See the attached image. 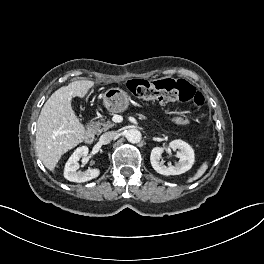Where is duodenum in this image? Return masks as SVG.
Here are the masks:
<instances>
[{
  "mask_svg": "<svg viewBox=\"0 0 264 264\" xmlns=\"http://www.w3.org/2000/svg\"><path fill=\"white\" fill-rule=\"evenodd\" d=\"M84 140L86 143L91 144L95 140V134L92 129H88L85 133Z\"/></svg>",
  "mask_w": 264,
  "mask_h": 264,
  "instance_id": "410a0bca",
  "label": "duodenum"
}]
</instances>
